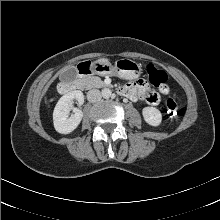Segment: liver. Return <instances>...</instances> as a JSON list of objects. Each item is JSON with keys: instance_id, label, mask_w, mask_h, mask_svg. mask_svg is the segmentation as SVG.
<instances>
[{"instance_id": "liver-1", "label": "liver", "mask_w": 220, "mask_h": 220, "mask_svg": "<svg viewBox=\"0 0 220 220\" xmlns=\"http://www.w3.org/2000/svg\"><path fill=\"white\" fill-rule=\"evenodd\" d=\"M98 61L106 63V62H109V59H107V58H99Z\"/></svg>"}]
</instances>
